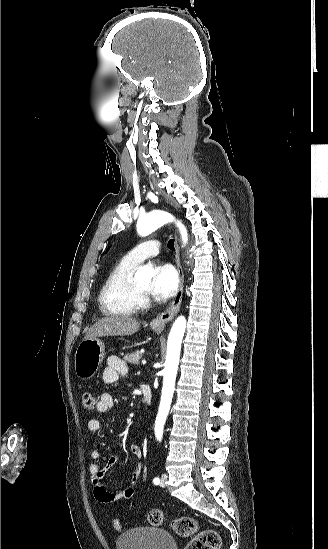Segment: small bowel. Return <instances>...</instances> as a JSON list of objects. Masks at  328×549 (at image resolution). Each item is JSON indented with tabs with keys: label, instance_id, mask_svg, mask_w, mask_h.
<instances>
[{
	"label": "small bowel",
	"instance_id": "1",
	"mask_svg": "<svg viewBox=\"0 0 328 549\" xmlns=\"http://www.w3.org/2000/svg\"><path fill=\"white\" fill-rule=\"evenodd\" d=\"M128 373V367L125 362L116 355H112L107 359V366L103 370L102 380L105 384L111 385L114 384L120 375H126ZM114 405V398L110 393H103L98 402L96 403V411L99 413L108 412ZM87 428L90 432H98L101 428V423L98 419L92 418L87 423ZM130 454L135 460L134 468L130 478L129 484L121 490H110L103 483V477L107 471H109L118 461V453H113L104 468L102 469L99 466V459L101 452L98 449H93L90 452V464H89V473L91 482L93 485L94 496L95 498L105 504L113 503L120 500H128L134 495V487L142 471V464L140 459L142 457L141 447L132 443L130 445Z\"/></svg>",
	"mask_w": 328,
	"mask_h": 549
}]
</instances>
